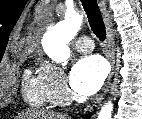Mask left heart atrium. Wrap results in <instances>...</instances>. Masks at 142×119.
<instances>
[{
	"instance_id": "left-heart-atrium-1",
	"label": "left heart atrium",
	"mask_w": 142,
	"mask_h": 119,
	"mask_svg": "<svg viewBox=\"0 0 142 119\" xmlns=\"http://www.w3.org/2000/svg\"><path fill=\"white\" fill-rule=\"evenodd\" d=\"M107 74L105 62L98 56L79 60L70 75L72 89L81 95H91L102 86Z\"/></svg>"
}]
</instances>
